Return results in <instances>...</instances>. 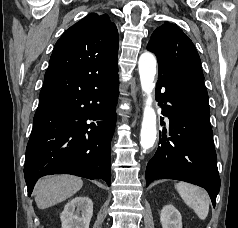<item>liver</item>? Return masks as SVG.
I'll use <instances>...</instances> for the list:
<instances>
[{
	"label": "liver",
	"instance_id": "6515ba94",
	"mask_svg": "<svg viewBox=\"0 0 238 228\" xmlns=\"http://www.w3.org/2000/svg\"><path fill=\"white\" fill-rule=\"evenodd\" d=\"M82 186V179L76 176L43 177L37 182L34 189L36 205L39 209L51 207L73 196Z\"/></svg>",
	"mask_w": 238,
	"mask_h": 228
}]
</instances>
